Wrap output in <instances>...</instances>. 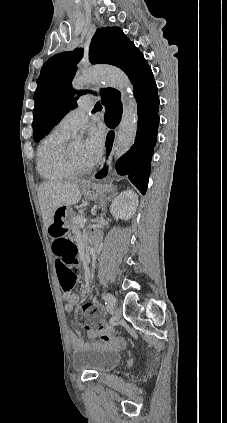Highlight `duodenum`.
<instances>
[{"label": "duodenum", "instance_id": "duodenum-1", "mask_svg": "<svg viewBox=\"0 0 227 423\" xmlns=\"http://www.w3.org/2000/svg\"><path fill=\"white\" fill-rule=\"evenodd\" d=\"M97 251V245L94 244L91 247H89L88 249H84V257L85 258H91L96 254Z\"/></svg>", "mask_w": 227, "mask_h": 423}]
</instances>
